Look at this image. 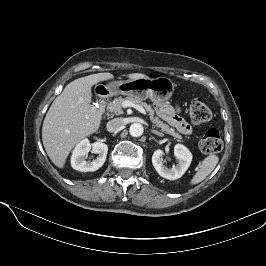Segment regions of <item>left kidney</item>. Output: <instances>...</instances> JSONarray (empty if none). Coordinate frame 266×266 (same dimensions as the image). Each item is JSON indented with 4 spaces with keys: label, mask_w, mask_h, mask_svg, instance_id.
<instances>
[{
    "label": "left kidney",
    "mask_w": 266,
    "mask_h": 266,
    "mask_svg": "<svg viewBox=\"0 0 266 266\" xmlns=\"http://www.w3.org/2000/svg\"><path fill=\"white\" fill-rule=\"evenodd\" d=\"M163 155L164 152L160 149L154 151L152 164L161 177L169 180L180 178L189 168L192 161L191 152L182 144H177L174 147V155L178 159L176 166H173L172 168L166 167L163 163Z\"/></svg>",
    "instance_id": "1"
}]
</instances>
